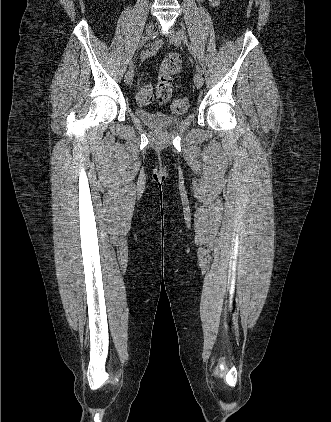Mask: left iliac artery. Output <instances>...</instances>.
<instances>
[{
  "label": "left iliac artery",
  "mask_w": 331,
  "mask_h": 422,
  "mask_svg": "<svg viewBox=\"0 0 331 422\" xmlns=\"http://www.w3.org/2000/svg\"><path fill=\"white\" fill-rule=\"evenodd\" d=\"M181 33H182V38L185 40V42H186V43H187V45H188L189 51H190V52H191V54L195 57V51H194V48L192 47V45H191V44H189V43H188V41H187V36H186L185 32L182 30V31H181ZM196 70H197L198 72L202 73V69L200 68V66H199L198 64H196Z\"/></svg>",
  "instance_id": "obj_1"
}]
</instances>
